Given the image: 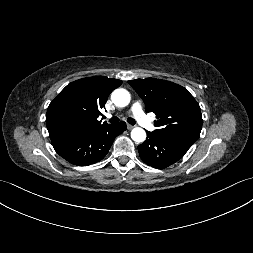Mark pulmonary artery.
I'll list each match as a JSON object with an SVG mask.
<instances>
[{
  "label": "pulmonary artery",
  "instance_id": "1",
  "mask_svg": "<svg viewBox=\"0 0 253 253\" xmlns=\"http://www.w3.org/2000/svg\"><path fill=\"white\" fill-rule=\"evenodd\" d=\"M130 110L141 126L147 130H154L155 127L153 122L145 115L142 109V105L139 102H134Z\"/></svg>",
  "mask_w": 253,
  "mask_h": 253
}]
</instances>
